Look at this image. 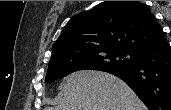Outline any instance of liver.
Here are the masks:
<instances>
[{"label":"liver","instance_id":"liver-1","mask_svg":"<svg viewBox=\"0 0 171 110\" xmlns=\"http://www.w3.org/2000/svg\"><path fill=\"white\" fill-rule=\"evenodd\" d=\"M60 88L63 96L60 105L44 110H146L125 82L107 72L71 73Z\"/></svg>","mask_w":171,"mask_h":110}]
</instances>
